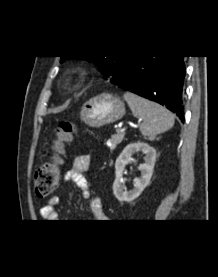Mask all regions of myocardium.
<instances>
[{
    "label": "myocardium",
    "instance_id": "myocardium-1",
    "mask_svg": "<svg viewBox=\"0 0 218 277\" xmlns=\"http://www.w3.org/2000/svg\"><path fill=\"white\" fill-rule=\"evenodd\" d=\"M75 82V75L73 74H68L63 80H62V87L64 89H69Z\"/></svg>",
    "mask_w": 218,
    "mask_h": 277
}]
</instances>
